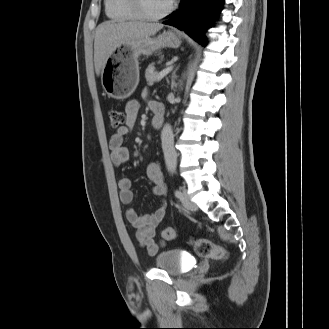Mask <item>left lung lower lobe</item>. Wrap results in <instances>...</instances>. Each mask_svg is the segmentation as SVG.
<instances>
[{
  "mask_svg": "<svg viewBox=\"0 0 329 329\" xmlns=\"http://www.w3.org/2000/svg\"><path fill=\"white\" fill-rule=\"evenodd\" d=\"M224 0H181L180 9L163 24L184 30L189 36L206 46L205 31L219 13Z\"/></svg>",
  "mask_w": 329,
  "mask_h": 329,
  "instance_id": "obj_1",
  "label": "left lung lower lobe"
}]
</instances>
